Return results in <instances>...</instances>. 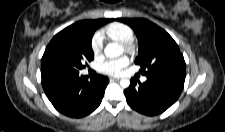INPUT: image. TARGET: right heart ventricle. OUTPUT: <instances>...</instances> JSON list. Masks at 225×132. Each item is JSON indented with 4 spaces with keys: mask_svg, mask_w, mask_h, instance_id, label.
Segmentation results:
<instances>
[{
    "mask_svg": "<svg viewBox=\"0 0 225 132\" xmlns=\"http://www.w3.org/2000/svg\"><path fill=\"white\" fill-rule=\"evenodd\" d=\"M103 32L108 39L120 43L130 42L134 38L133 29L129 25L120 22L107 25Z\"/></svg>",
    "mask_w": 225,
    "mask_h": 132,
    "instance_id": "1",
    "label": "right heart ventricle"
}]
</instances>
